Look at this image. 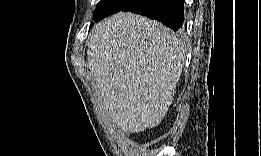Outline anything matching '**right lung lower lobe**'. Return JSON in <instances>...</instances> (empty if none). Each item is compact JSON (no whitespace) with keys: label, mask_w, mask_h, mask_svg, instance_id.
I'll return each instance as SVG.
<instances>
[{"label":"right lung lower lobe","mask_w":261,"mask_h":156,"mask_svg":"<svg viewBox=\"0 0 261 156\" xmlns=\"http://www.w3.org/2000/svg\"><path fill=\"white\" fill-rule=\"evenodd\" d=\"M121 11H131L156 19L174 31L184 22L183 0H132Z\"/></svg>","instance_id":"right-lung-lower-lobe-1"}]
</instances>
